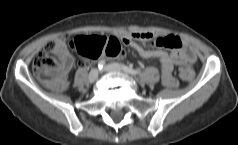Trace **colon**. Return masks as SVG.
<instances>
[{
    "label": "colon",
    "instance_id": "1",
    "mask_svg": "<svg viewBox=\"0 0 238 145\" xmlns=\"http://www.w3.org/2000/svg\"><path fill=\"white\" fill-rule=\"evenodd\" d=\"M70 45L86 61L96 60L101 56L114 58L124 54L121 42L115 37L77 36ZM57 50L58 42H49L34 58L32 70L46 85L62 91L67 86V80L60 71ZM193 75L190 67L180 69V77L184 80H190Z\"/></svg>",
    "mask_w": 238,
    "mask_h": 145
}]
</instances>
